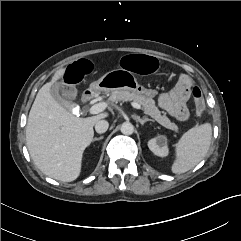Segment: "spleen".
<instances>
[{"mask_svg": "<svg viewBox=\"0 0 241 241\" xmlns=\"http://www.w3.org/2000/svg\"><path fill=\"white\" fill-rule=\"evenodd\" d=\"M212 138L210 123H204L189 129L175 144V160L171 171L185 173L194 168L207 154Z\"/></svg>", "mask_w": 241, "mask_h": 241, "instance_id": "obj_1", "label": "spleen"}]
</instances>
